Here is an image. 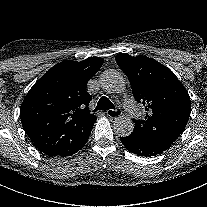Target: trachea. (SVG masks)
Returning a JSON list of instances; mask_svg holds the SVG:
<instances>
[{"label": "trachea", "instance_id": "trachea-1", "mask_svg": "<svg viewBox=\"0 0 207 207\" xmlns=\"http://www.w3.org/2000/svg\"><path fill=\"white\" fill-rule=\"evenodd\" d=\"M109 109H115L114 104L106 97H102L94 109V111L98 110H109Z\"/></svg>", "mask_w": 207, "mask_h": 207}]
</instances>
